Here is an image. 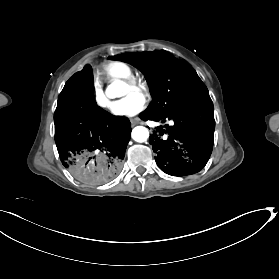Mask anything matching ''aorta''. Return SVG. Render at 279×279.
<instances>
[{"instance_id": "762f6f07", "label": "aorta", "mask_w": 279, "mask_h": 279, "mask_svg": "<svg viewBox=\"0 0 279 279\" xmlns=\"http://www.w3.org/2000/svg\"><path fill=\"white\" fill-rule=\"evenodd\" d=\"M126 91V85L120 81L115 80L111 84H109L106 88V95L107 97L113 99L116 97H121L124 95ZM131 137L136 142L143 143L145 142L149 137V131L146 127L143 126H136L131 133Z\"/></svg>"}]
</instances>
